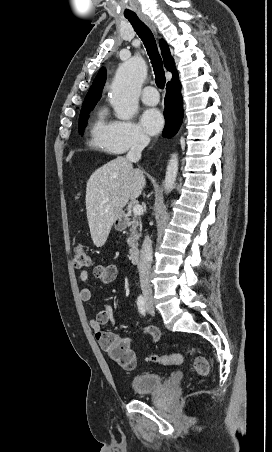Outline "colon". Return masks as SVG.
<instances>
[{
	"label": "colon",
	"instance_id": "obj_1",
	"mask_svg": "<svg viewBox=\"0 0 272 452\" xmlns=\"http://www.w3.org/2000/svg\"><path fill=\"white\" fill-rule=\"evenodd\" d=\"M92 264V258L86 248L82 244H78L74 248L73 266L76 269L88 267ZM109 358L112 362L118 364L123 368H133L135 365V357L131 350L128 348V343L124 339L118 340L115 345L110 349ZM148 360L153 363L161 365H178L183 362L181 354H167L157 355L151 354ZM194 368L200 377H205L210 372V364L208 360L203 356H196L193 361Z\"/></svg>",
	"mask_w": 272,
	"mask_h": 452
}]
</instances>
